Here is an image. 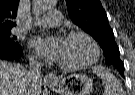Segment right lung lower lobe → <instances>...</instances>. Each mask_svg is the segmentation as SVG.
Returning a JSON list of instances; mask_svg holds the SVG:
<instances>
[{"label": "right lung lower lobe", "instance_id": "98d812e1", "mask_svg": "<svg viewBox=\"0 0 135 95\" xmlns=\"http://www.w3.org/2000/svg\"><path fill=\"white\" fill-rule=\"evenodd\" d=\"M23 54L22 48L20 46L11 49H0V59L5 60H17Z\"/></svg>", "mask_w": 135, "mask_h": 95}]
</instances>
